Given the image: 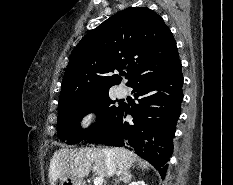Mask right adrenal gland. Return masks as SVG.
Masks as SVG:
<instances>
[{"label":"right adrenal gland","mask_w":233,"mask_h":185,"mask_svg":"<svg viewBox=\"0 0 233 185\" xmlns=\"http://www.w3.org/2000/svg\"><path fill=\"white\" fill-rule=\"evenodd\" d=\"M117 176L119 177L118 180L115 181L114 185H117L120 181H123L124 183H127L131 180L132 175L130 174L129 171L125 170L120 174H117Z\"/></svg>","instance_id":"1"}]
</instances>
